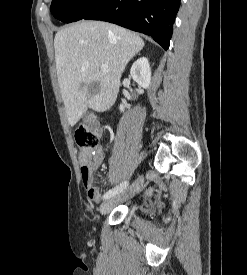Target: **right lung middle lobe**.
<instances>
[{"instance_id":"right-lung-middle-lobe-1","label":"right lung middle lobe","mask_w":247,"mask_h":275,"mask_svg":"<svg viewBox=\"0 0 247 275\" xmlns=\"http://www.w3.org/2000/svg\"><path fill=\"white\" fill-rule=\"evenodd\" d=\"M104 0H52L51 13L62 22L71 23L84 18Z\"/></svg>"}]
</instances>
